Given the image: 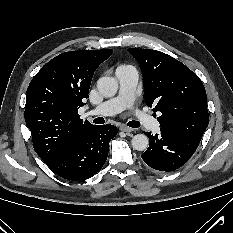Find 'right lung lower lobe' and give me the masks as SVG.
<instances>
[{"label":"right lung lower lobe","mask_w":233,"mask_h":233,"mask_svg":"<svg viewBox=\"0 0 233 233\" xmlns=\"http://www.w3.org/2000/svg\"><path fill=\"white\" fill-rule=\"evenodd\" d=\"M116 135L117 128L114 125H94L71 141L59 154L44 162L62 178L86 180L103 167L109 142Z\"/></svg>","instance_id":"1"}]
</instances>
